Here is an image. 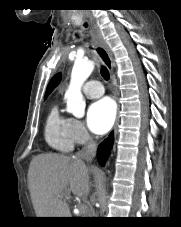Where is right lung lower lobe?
<instances>
[{"label":"right lung lower lobe","mask_w":181,"mask_h":227,"mask_svg":"<svg viewBox=\"0 0 181 227\" xmlns=\"http://www.w3.org/2000/svg\"><path fill=\"white\" fill-rule=\"evenodd\" d=\"M113 145V133H111L107 139H105L98 147L97 159L101 166H104L105 161L110 153V149Z\"/></svg>","instance_id":"1"}]
</instances>
